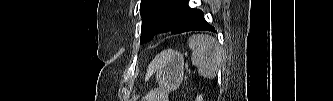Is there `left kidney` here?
<instances>
[{"label": "left kidney", "mask_w": 333, "mask_h": 101, "mask_svg": "<svg viewBox=\"0 0 333 101\" xmlns=\"http://www.w3.org/2000/svg\"><path fill=\"white\" fill-rule=\"evenodd\" d=\"M196 101H203L202 95L197 96Z\"/></svg>", "instance_id": "1"}]
</instances>
